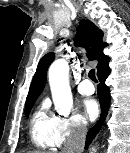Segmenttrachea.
Listing matches in <instances>:
<instances>
[{
	"label": "trachea",
	"mask_w": 130,
	"mask_h": 153,
	"mask_svg": "<svg viewBox=\"0 0 130 153\" xmlns=\"http://www.w3.org/2000/svg\"><path fill=\"white\" fill-rule=\"evenodd\" d=\"M88 76H89V78H90L93 82H95V83L98 82V80H97V78H96V75H95V70H94V69H91V70L89 71Z\"/></svg>",
	"instance_id": "obj_1"
}]
</instances>
